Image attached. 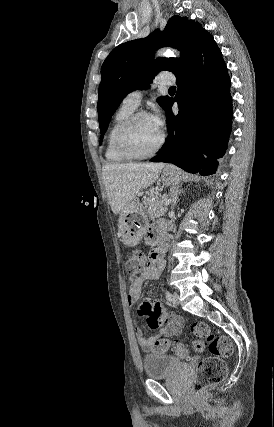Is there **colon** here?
Returning a JSON list of instances; mask_svg holds the SVG:
<instances>
[{
	"label": "colon",
	"instance_id": "5ec220e1",
	"mask_svg": "<svg viewBox=\"0 0 274 427\" xmlns=\"http://www.w3.org/2000/svg\"><path fill=\"white\" fill-rule=\"evenodd\" d=\"M145 264L143 252L128 255L126 260L127 273L131 278H136L142 272ZM191 332L196 336L195 348L206 346L210 356L200 360L196 379L192 381V395H206L207 387L221 383L227 376V365L224 358L232 355V344L224 336L214 334L204 322L193 323ZM156 349L161 352L173 351L180 358H187L188 351L183 344L176 341L162 339L156 342Z\"/></svg>",
	"mask_w": 274,
	"mask_h": 427
}]
</instances>
